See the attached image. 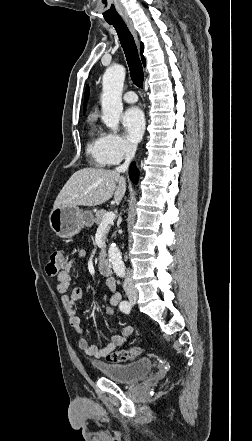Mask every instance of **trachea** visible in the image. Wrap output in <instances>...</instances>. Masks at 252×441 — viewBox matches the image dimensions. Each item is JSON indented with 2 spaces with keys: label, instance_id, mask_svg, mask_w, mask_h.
I'll list each match as a JSON object with an SVG mask.
<instances>
[{
  "label": "trachea",
  "instance_id": "obj_1",
  "mask_svg": "<svg viewBox=\"0 0 252 441\" xmlns=\"http://www.w3.org/2000/svg\"><path fill=\"white\" fill-rule=\"evenodd\" d=\"M110 25H113L117 31L120 43L124 50L126 60L130 69V76L133 83L139 87H143V67L140 61L138 50L134 38L126 26L125 22L121 20L108 21Z\"/></svg>",
  "mask_w": 252,
  "mask_h": 441
}]
</instances>
